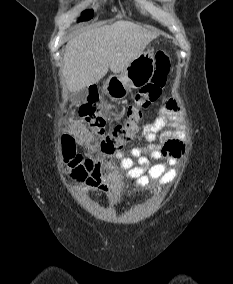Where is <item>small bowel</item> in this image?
I'll use <instances>...</instances> for the list:
<instances>
[{"mask_svg": "<svg viewBox=\"0 0 233 284\" xmlns=\"http://www.w3.org/2000/svg\"><path fill=\"white\" fill-rule=\"evenodd\" d=\"M180 113L179 102L168 98L157 110V118L151 124L143 126L146 147H133L127 153L116 152L115 160L104 165L99 160L92 161L91 174L86 186L100 191L116 192L126 180L136 186L149 189L153 181L167 184L176 177L178 160L184 155L185 145L174 129ZM80 143L90 139L88 130L82 124L74 126ZM155 161L157 163L152 164Z\"/></svg>", "mask_w": 233, "mask_h": 284, "instance_id": "1", "label": "small bowel"}]
</instances>
